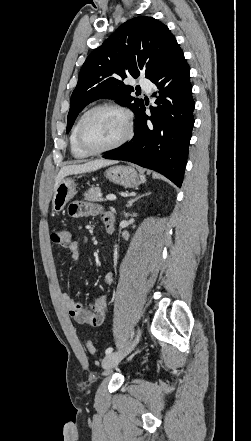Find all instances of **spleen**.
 Returning <instances> with one entry per match:
<instances>
[{
  "mask_svg": "<svg viewBox=\"0 0 251 441\" xmlns=\"http://www.w3.org/2000/svg\"><path fill=\"white\" fill-rule=\"evenodd\" d=\"M140 177H141V181H142V183H145V182H146L145 175H140Z\"/></svg>",
  "mask_w": 251,
  "mask_h": 441,
  "instance_id": "obj_1",
  "label": "spleen"
}]
</instances>
